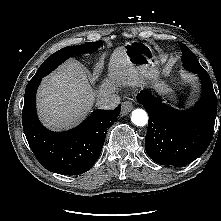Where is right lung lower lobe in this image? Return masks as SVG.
<instances>
[{
  "mask_svg": "<svg viewBox=\"0 0 221 221\" xmlns=\"http://www.w3.org/2000/svg\"><path fill=\"white\" fill-rule=\"evenodd\" d=\"M42 77L26 86L22 124L34 155L47 170L64 175L88 171L99 157L107 130L117 121L121 110H96L78 127L66 132L46 129L36 114V91Z\"/></svg>",
  "mask_w": 221,
  "mask_h": 221,
  "instance_id": "1",
  "label": "right lung lower lobe"
}]
</instances>
